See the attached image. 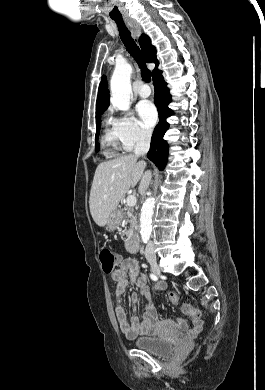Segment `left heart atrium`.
<instances>
[{"mask_svg": "<svg viewBox=\"0 0 265 390\" xmlns=\"http://www.w3.org/2000/svg\"><path fill=\"white\" fill-rule=\"evenodd\" d=\"M137 112L144 126L151 128L157 121V111L154 105L148 101L140 102L137 105Z\"/></svg>", "mask_w": 265, "mask_h": 390, "instance_id": "obj_1", "label": "left heart atrium"}]
</instances>
